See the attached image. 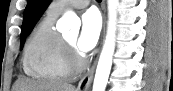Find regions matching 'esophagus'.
I'll list each match as a JSON object with an SVG mask.
<instances>
[{"instance_id": "34e87169", "label": "esophagus", "mask_w": 173, "mask_h": 91, "mask_svg": "<svg viewBox=\"0 0 173 91\" xmlns=\"http://www.w3.org/2000/svg\"><path fill=\"white\" fill-rule=\"evenodd\" d=\"M102 10H103V31H102V43L104 41L105 29H106V0H102ZM97 59L93 66L86 72L83 78L80 80L78 84L79 91H88L94 76V71L96 67Z\"/></svg>"}]
</instances>
